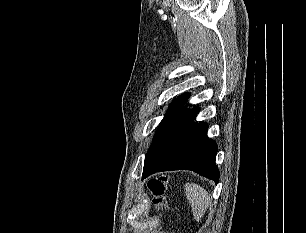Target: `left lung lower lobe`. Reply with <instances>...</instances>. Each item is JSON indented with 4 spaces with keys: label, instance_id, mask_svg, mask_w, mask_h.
Here are the masks:
<instances>
[{
    "label": "left lung lower lobe",
    "instance_id": "1",
    "mask_svg": "<svg viewBox=\"0 0 306 233\" xmlns=\"http://www.w3.org/2000/svg\"><path fill=\"white\" fill-rule=\"evenodd\" d=\"M198 112L192 109L159 140L145 159L143 179L161 171L192 170L218 183V147L207 137L208 125L193 122Z\"/></svg>",
    "mask_w": 306,
    "mask_h": 233
}]
</instances>
